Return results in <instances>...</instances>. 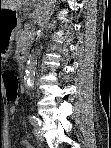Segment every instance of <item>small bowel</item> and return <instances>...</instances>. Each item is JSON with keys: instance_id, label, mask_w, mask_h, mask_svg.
I'll return each mask as SVG.
<instances>
[{"instance_id": "c3829d8e", "label": "small bowel", "mask_w": 111, "mask_h": 148, "mask_svg": "<svg viewBox=\"0 0 111 148\" xmlns=\"http://www.w3.org/2000/svg\"><path fill=\"white\" fill-rule=\"evenodd\" d=\"M9 113L10 114H14L15 113V107L14 106H11L9 108ZM23 144H24V147H27V148H32V146L25 140H23ZM5 147H8V145H5Z\"/></svg>"}]
</instances>
